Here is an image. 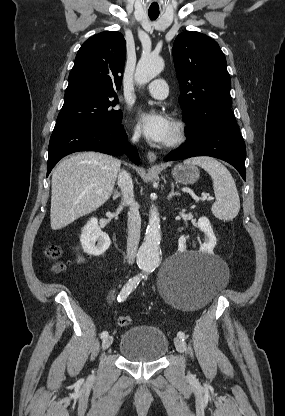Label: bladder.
<instances>
[{"label":"bladder","instance_id":"bladder-1","mask_svg":"<svg viewBox=\"0 0 285 416\" xmlns=\"http://www.w3.org/2000/svg\"><path fill=\"white\" fill-rule=\"evenodd\" d=\"M168 337L161 329L148 324L124 331L119 340L120 355L132 362H157L168 351Z\"/></svg>","mask_w":285,"mask_h":416}]
</instances>
